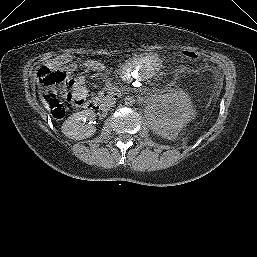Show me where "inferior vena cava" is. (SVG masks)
Wrapping results in <instances>:
<instances>
[{
    "instance_id": "602c4592",
    "label": "inferior vena cava",
    "mask_w": 257,
    "mask_h": 257,
    "mask_svg": "<svg viewBox=\"0 0 257 257\" xmlns=\"http://www.w3.org/2000/svg\"><path fill=\"white\" fill-rule=\"evenodd\" d=\"M114 102L113 101H107L102 105V110L103 111H108L109 109H111V107H113Z\"/></svg>"
}]
</instances>
